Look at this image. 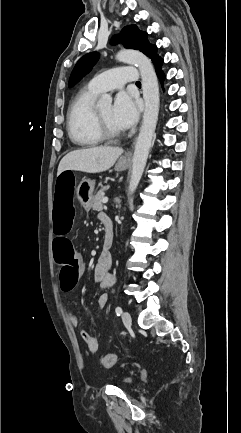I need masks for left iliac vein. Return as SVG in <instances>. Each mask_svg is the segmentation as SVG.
I'll return each mask as SVG.
<instances>
[{
  "label": "left iliac vein",
  "instance_id": "obj_1",
  "mask_svg": "<svg viewBox=\"0 0 241 433\" xmlns=\"http://www.w3.org/2000/svg\"><path fill=\"white\" fill-rule=\"evenodd\" d=\"M122 320H123V323H124V325L126 327H130L131 326V323H132L131 316H130V314L127 311L123 312V314H122Z\"/></svg>",
  "mask_w": 241,
  "mask_h": 433
}]
</instances>
